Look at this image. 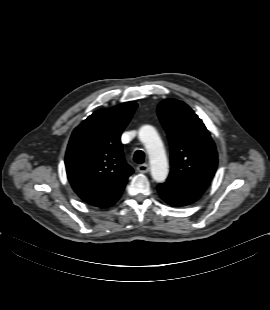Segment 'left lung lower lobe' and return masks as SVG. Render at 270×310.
Instances as JSON below:
<instances>
[{"label":"left lung lower lobe","mask_w":270,"mask_h":310,"mask_svg":"<svg viewBox=\"0 0 270 310\" xmlns=\"http://www.w3.org/2000/svg\"><path fill=\"white\" fill-rule=\"evenodd\" d=\"M161 198L171 206L181 207L196 202L204 193V189L180 186L166 181L157 186Z\"/></svg>","instance_id":"1"}]
</instances>
